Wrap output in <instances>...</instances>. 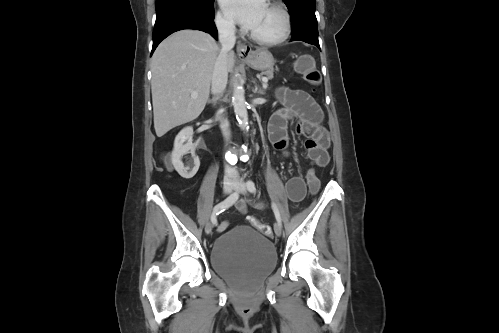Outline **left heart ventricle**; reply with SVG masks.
Returning <instances> with one entry per match:
<instances>
[{
    "mask_svg": "<svg viewBox=\"0 0 499 333\" xmlns=\"http://www.w3.org/2000/svg\"><path fill=\"white\" fill-rule=\"evenodd\" d=\"M251 31L262 39H275L283 31V17L278 10L266 6Z\"/></svg>",
    "mask_w": 499,
    "mask_h": 333,
    "instance_id": "obj_1",
    "label": "left heart ventricle"
}]
</instances>
